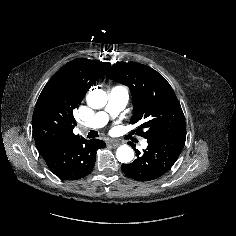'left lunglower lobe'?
<instances>
[{
	"instance_id": "obj_1",
	"label": "left lung lower lobe",
	"mask_w": 236,
	"mask_h": 236,
	"mask_svg": "<svg viewBox=\"0 0 236 236\" xmlns=\"http://www.w3.org/2000/svg\"><path fill=\"white\" fill-rule=\"evenodd\" d=\"M186 140V130L147 139V149L130 164H122L123 172L137 181H152L167 173L178 159Z\"/></svg>"
}]
</instances>
